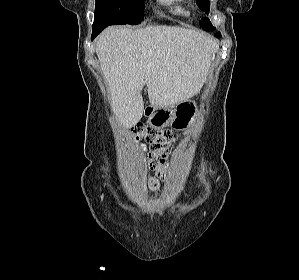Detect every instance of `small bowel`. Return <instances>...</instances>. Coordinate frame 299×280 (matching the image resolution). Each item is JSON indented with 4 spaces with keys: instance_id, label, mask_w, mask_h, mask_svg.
Listing matches in <instances>:
<instances>
[{
    "instance_id": "small-bowel-1",
    "label": "small bowel",
    "mask_w": 299,
    "mask_h": 280,
    "mask_svg": "<svg viewBox=\"0 0 299 280\" xmlns=\"http://www.w3.org/2000/svg\"><path fill=\"white\" fill-rule=\"evenodd\" d=\"M148 185L151 188V190L156 192L158 190L159 181L155 177H151L148 181Z\"/></svg>"
}]
</instances>
